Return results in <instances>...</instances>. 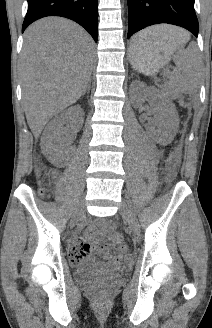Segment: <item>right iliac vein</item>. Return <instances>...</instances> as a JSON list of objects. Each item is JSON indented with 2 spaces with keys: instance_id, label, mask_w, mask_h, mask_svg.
I'll return each mask as SVG.
<instances>
[{
  "instance_id": "obj_1",
  "label": "right iliac vein",
  "mask_w": 212,
  "mask_h": 328,
  "mask_svg": "<svg viewBox=\"0 0 212 328\" xmlns=\"http://www.w3.org/2000/svg\"><path fill=\"white\" fill-rule=\"evenodd\" d=\"M83 213V207L81 206L78 210H77V213H76V217L74 219V222L79 218L80 215H82Z\"/></svg>"
}]
</instances>
